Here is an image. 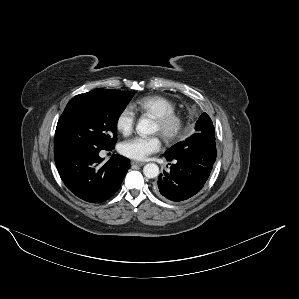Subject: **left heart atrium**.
I'll use <instances>...</instances> for the list:
<instances>
[{
    "label": "left heart atrium",
    "mask_w": 299,
    "mask_h": 299,
    "mask_svg": "<svg viewBox=\"0 0 299 299\" xmlns=\"http://www.w3.org/2000/svg\"><path fill=\"white\" fill-rule=\"evenodd\" d=\"M161 145V138L157 135L137 136L122 142L119 146V152L130 159L145 160L150 154L158 152Z\"/></svg>",
    "instance_id": "left-heart-atrium-1"
}]
</instances>
